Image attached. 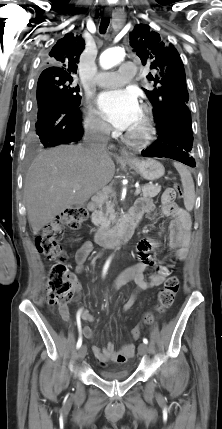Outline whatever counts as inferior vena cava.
<instances>
[{
    "instance_id": "1",
    "label": "inferior vena cava",
    "mask_w": 222,
    "mask_h": 429,
    "mask_svg": "<svg viewBox=\"0 0 222 429\" xmlns=\"http://www.w3.org/2000/svg\"><path fill=\"white\" fill-rule=\"evenodd\" d=\"M111 126L100 119L93 120L85 128L84 142L92 153L105 152Z\"/></svg>"
}]
</instances>
